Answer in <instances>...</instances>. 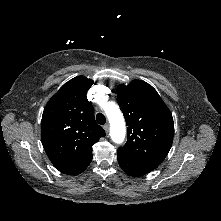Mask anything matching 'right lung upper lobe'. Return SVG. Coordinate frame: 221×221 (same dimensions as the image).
I'll list each match as a JSON object with an SVG mask.
<instances>
[{
    "label": "right lung upper lobe",
    "mask_w": 221,
    "mask_h": 221,
    "mask_svg": "<svg viewBox=\"0 0 221 221\" xmlns=\"http://www.w3.org/2000/svg\"><path fill=\"white\" fill-rule=\"evenodd\" d=\"M93 81L77 76L48 101L42 115L41 138L53 165L67 175H78L92 161V146L105 136L95 122L94 108L86 98Z\"/></svg>",
    "instance_id": "right-lung-upper-lobe-1"
}]
</instances>
